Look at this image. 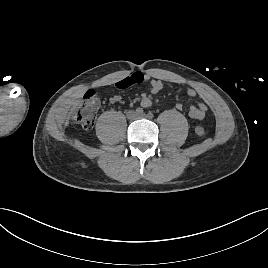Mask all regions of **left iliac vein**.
Segmentation results:
<instances>
[{
    "instance_id": "left-iliac-vein-1",
    "label": "left iliac vein",
    "mask_w": 268,
    "mask_h": 268,
    "mask_svg": "<svg viewBox=\"0 0 268 268\" xmlns=\"http://www.w3.org/2000/svg\"><path fill=\"white\" fill-rule=\"evenodd\" d=\"M148 116L146 114H139L137 118H147Z\"/></svg>"
}]
</instances>
